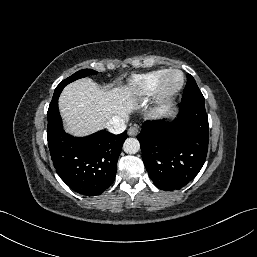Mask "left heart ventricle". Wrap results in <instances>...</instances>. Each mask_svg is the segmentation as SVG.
<instances>
[{"label":"left heart ventricle","mask_w":257,"mask_h":257,"mask_svg":"<svg viewBox=\"0 0 257 257\" xmlns=\"http://www.w3.org/2000/svg\"><path fill=\"white\" fill-rule=\"evenodd\" d=\"M180 83V76L178 74H172L168 79V87L174 88Z\"/></svg>","instance_id":"1"}]
</instances>
